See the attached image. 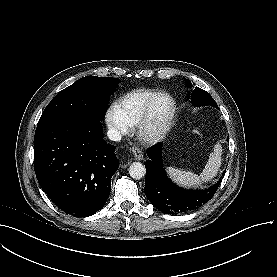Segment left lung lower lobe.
<instances>
[{"label": "left lung lower lobe", "instance_id": "1", "mask_svg": "<svg viewBox=\"0 0 277 277\" xmlns=\"http://www.w3.org/2000/svg\"><path fill=\"white\" fill-rule=\"evenodd\" d=\"M161 154L160 142L147 150L149 159L145 162V195L155 208L171 215L186 213L205 204L215 194L221 179L214 186L201 191H190L174 185L163 169Z\"/></svg>", "mask_w": 277, "mask_h": 277}]
</instances>
